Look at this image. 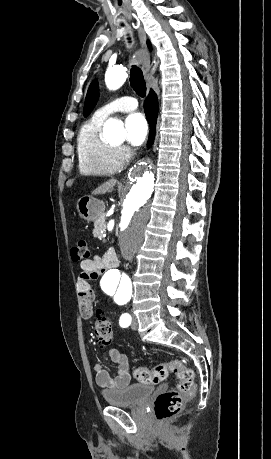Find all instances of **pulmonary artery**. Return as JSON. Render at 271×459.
Masks as SVG:
<instances>
[{
	"instance_id": "e3ab8cb5",
	"label": "pulmonary artery",
	"mask_w": 271,
	"mask_h": 459,
	"mask_svg": "<svg viewBox=\"0 0 271 459\" xmlns=\"http://www.w3.org/2000/svg\"><path fill=\"white\" fill-rule=\"evenodd\" d=\"M138 103L132 97L119 98L105 104L94 113V117L105 120L115 112H131L136 110Z\"/></svg>"
}]
</instances>
